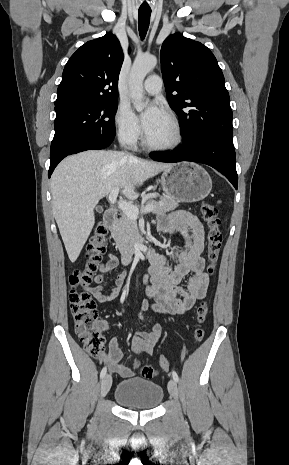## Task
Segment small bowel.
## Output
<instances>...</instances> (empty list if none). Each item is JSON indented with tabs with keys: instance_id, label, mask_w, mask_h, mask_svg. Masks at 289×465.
I'll return each mask as SVG.
<instances>
[{
	"instance_id": "small-bowel-1",
	"label": "small bowel",
	"mask_w": 289,
	"mask_h": 465,
	"mask_svg": "<svg viewBox=\"0 0 289 465\" xmlns=\"http://www.w3.org/2000/svg\"><path fill=\"white\" fill-rule=\"evenodd\" d=\"M158 229L168 234H180L183 243L175 247L169 255H159V259L151 264L146 276L147 296L150 301L143 303L139 313L140 319L145 321L142 312L148 308L163 314H183L190 310L197 300L206 296L209 286V274L206 262L202 257L204 250V225L194 215L186 211H175L162 216L158 220ZM119 260L110 254L106 263L99 266L100 273L94 277L96 286L88 289L89 293L100 303L117 299L121 296L127 277L125 271L119 272L115 279V286L107 289L103 285L105 275L116 269ZM189 275L186 286L182 280ZM98 327L107 330L104 321ZM162 335L159 323H151L149 331H138L131 340V348L137 353L151 354ZM101 360L112 372L122 377H131L134 370L121 364L123 353L117 338L108 342L107 353H102Z\"/></svg>"
}]
</instances>
